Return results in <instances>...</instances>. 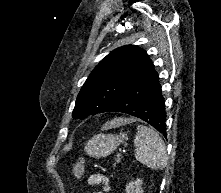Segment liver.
I'll use <instances>...</instances> for the list:
<instances>
[{
    "label": "liver",
    "mask_w": 221,
    "mask_h": 193,
    "mask_svg": "<svg viewBox=\"0 0 221 193\" xmlns=\"http://www.w3.org/2000/svg\"><path fill=\"white\" fill-rule=\"evenodd\" d=\"M129 121H130L129 119H123V118L114 119V120L106 123L104 128L119 127Z\"/></svg>",
    "instance_id": "obj_1"
}]
</instances>
